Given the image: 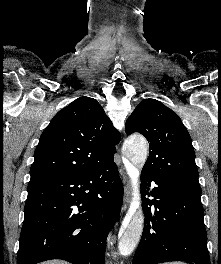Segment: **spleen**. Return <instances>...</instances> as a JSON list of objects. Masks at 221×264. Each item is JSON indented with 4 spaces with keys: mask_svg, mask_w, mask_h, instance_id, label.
Wrapping results in <instances>:
<instances>
[{
    "mask_svg": "<svg viewBox=\"0 0 221 264\" xmlns=\"http://www.w3.org/2000/svg\"><path fill=\"white\" fill-rule=\"evenodd\" d=\"M164 264H186V263H182V262H171V263H164Z\"/></svg>",
    "mask_w": 221,
    "mask_h": 264,
    "instance_id": "obj_1",
    "label": "spleen"
}]
</instances>
